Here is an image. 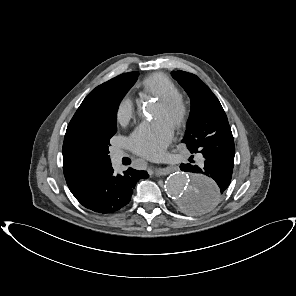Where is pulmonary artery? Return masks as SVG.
<instances>
[{
	"instance_id": "obj_1",
	"label": "pulmonary artery",
	"mask_w": 296,
	"mask_h": 296,
	"mask_svg": "<svg viewBox=\"0 0 296 296\" xmlns=\"http://www.w3.org/2000/svg\"><path fill=\"white\" fill-rule=\"evenodd\" d=\"M122 152H120V151H115L114 152V154H113V159H114V161L116 162V163H118L120 160H121V158H122Z\"/></svg>"
}]
</instances>
